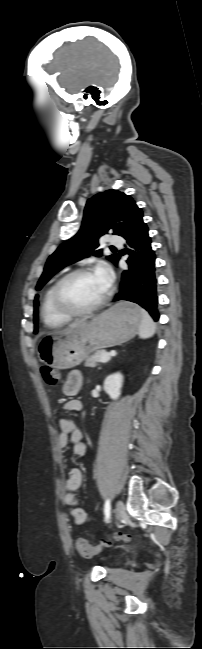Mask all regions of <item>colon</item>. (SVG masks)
Returning <instances> with one entry per match:
<instances>
[{
    "label": "colon",
    "mask_w": 202,
    "mask_h": 649,
    "mask_svg": "<svg viewBox=\"0 0 202 649\" xmlns=\"http://www.w3.org/2000/svg\"><path fill=\"white\" fill-rule=\"evenodd\" d=\"M40 374L42 379L47 385L53 386L57 385L60 381L59 372L49 366H43L40 369ZM108 543H100L98 545H92L86 540L80 538L76 542V547L81 556L85 558H90L95 554L99 553Z\"/></svg>",
    "instance_id": "obj_1"
}]
</instances>
